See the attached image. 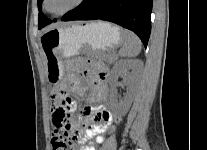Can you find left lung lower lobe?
Returning <instances> with one entry per match:
<instances>
[{
    "label": "left lung lower lobe",
    "instance_id": "1",
    "mask_svg": "<svg viewBox=\"0 0 207 150\" xmlns=\"http://www.w3.org/2000/svg\"><path fill=\"white\" fill-rule=\"evenodd\" d=\"M152 0H84L62 17L70 20H105L135 32L147 46L151 32Z\"/></svg>",
    "mask_w": 207,
    "mask_h": 150
}]
</instances>
